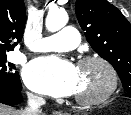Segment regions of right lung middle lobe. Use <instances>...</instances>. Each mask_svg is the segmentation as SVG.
I'll return each instance as SVG.
<instances>
[{
  "label": "right lung middle lobe",
  "mask_w": 131,
  "mask_h": 115,
  "mask_svg": "<svg viewBox=\"0 0 131 115\" xmlns=\"http://www.w3.org/2000/svg\"><path fill=\"white\" fill-rule=\"evenodd\" d=\"M14 69V64L7 62L6 53H0V90L9 89L20 81Z\"/></svg>",
  "instance_id": "right-lung-middle-lobe-1"
}]
</instances>
